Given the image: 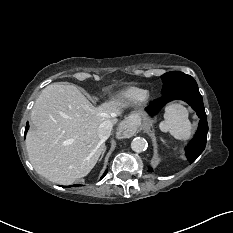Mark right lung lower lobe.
Here are the masks:
<instances>
[{
    "label": "right lung lower lobe",
    "mask_w": 233,
    "mask_h": 233,
    "mask_svg": "<svg viewBox=\"0 0 233 233\" xmlns=\"http://www.w3.org/2000/svg\"><path fill=\"white\" fill-rule=\"evenodd\" d=\"M29 129V124L27 123L26 124V128H25V134H26V132H27V130ZM106 173H107V170L105 171V173H104V175L102 176V178L106 175ZM101 178V179H102ZM74 186H78V185H74Z\"/></svg>",
    "instance_id": "1"
}]
</instances>
